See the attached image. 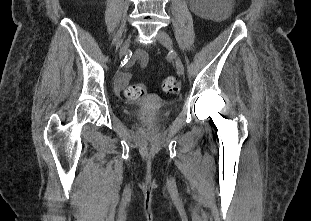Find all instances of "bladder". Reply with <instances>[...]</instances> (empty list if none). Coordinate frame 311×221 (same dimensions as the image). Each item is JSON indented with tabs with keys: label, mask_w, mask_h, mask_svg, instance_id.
<instances>
[{
	"label": "bladder",
	"mask_w": 311,
	"mask_h": 221,
	"mask_svg": "<svg viewBox=\"0 0 311 221\" xmlns=\"http://www.w3.org/2000/svg\"><path fill=\"white\" fill-rule=\"evenodd\" d=\"M154 100L155 99L152 98L151 95H146L138 102L137 109L139 112L133 114L131 117V120L135 124L151 129L161 127L166 123V115L158 111L159 107L162 105V101L160 100L155 104Z\"/></svg>",
	"instance_id": "31cf9c89"
}]
</instances>
